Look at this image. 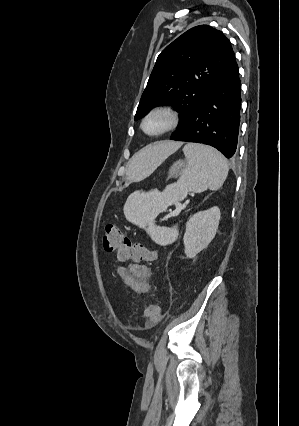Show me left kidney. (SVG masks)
Segmentation results:
<instances>
[{
  "label": "left kidney",
  "instance_id": "left-kidney-1",
  "mask_svg": "<svg viewBox=\"0 0 299 426\" xmlns=\"http://www.w3.org/2000/svg\"><path fill=\"white\" fill-rule=\"evenodd\" d=\"M220 216V209L214 206L194 214L189 219L183 238L188 258H194L210 244L216 235Z\"/></svg>",
  "mask_w": 299,
  "mask_h": 426
}]
</instances>
